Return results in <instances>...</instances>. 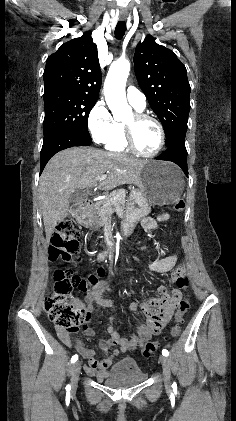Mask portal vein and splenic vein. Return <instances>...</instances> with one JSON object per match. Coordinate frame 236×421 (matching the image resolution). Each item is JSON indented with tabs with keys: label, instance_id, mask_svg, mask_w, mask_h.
<instances>
[{
	"label": "portal vein and splenic vein",
	"instance_id": "1",
	"mask_svg": "<svg viewBox=\"0 0 236 421\" xmlns=\"http://www.w3.org/2000/svg\"><path fill=\"white\" fill-rule=\"evenodd\" d=\"M107 178V174H100V176H95V180H105Z\"/></svg>",
	"mask_w": 236,
	"mask_h": 421
}]
</instances>
